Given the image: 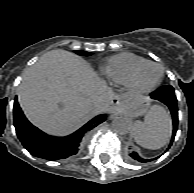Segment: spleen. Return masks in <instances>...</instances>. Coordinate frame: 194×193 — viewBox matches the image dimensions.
<instances>
[{"mask_svg":"<svg viewBox=\"0 0 194 193\" xmlns=\"http://www.w3.org/2000/svg\"><path fill=\"white\" fill-rule=\"evenodd\" d=\"M171 117L159 105H153L144 117V121L137 120L133 126L136 143L147 149H160L169 142L171 137Z\"/></svg>","mask_w":194,"mask_h":193,"instance_id":"1","label":"spleen"}]
</instances>
